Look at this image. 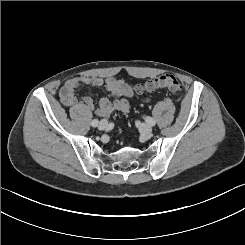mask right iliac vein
I'll list each match as a JSON object with an SVG mask.
<instances>
[{
    "label": "right iliac vein",
    "mask_w": 245,
    "mask_h": 245,
    "mask_svg": "<svg viewBox=\"0 0 245 245\" xmlns=\"http://www.w3.org/2000/svg\"><path fill=\"white\" fill-rule=\"evenodd\" d=\"M108 127V122L106 120H101L98 124L99 130H105Z\"/></svg>",
    "instance_id": "1"
}]
</instances>
